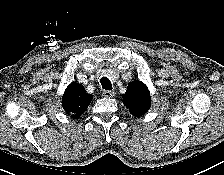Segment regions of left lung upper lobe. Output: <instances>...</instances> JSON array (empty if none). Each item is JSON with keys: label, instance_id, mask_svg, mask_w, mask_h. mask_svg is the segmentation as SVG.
Instances as JSON below:
<instances>
[{"label": "left lung upper lobe", "instance_id": "5c2ea615", "mask_svg": "<svg viewBox=\"0 0 224 175\" xmlns=\"http://www.w3.org/2000/svg\"><path fill=\"white\" fill-rule=\"evenodd\" d=\"M123 103L132 115L137 117L144 115L151 106L147 86L138 80L131 82L123 95Z\"/></svg>", "mask_w": 224, "mask_h": 175}]
</instances>
